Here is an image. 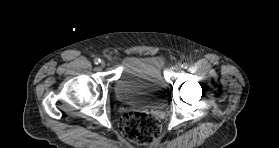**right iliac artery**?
Returning a JSON list of instances; mask_svg holds the SVG:
<instances>
[{
    "instance_id": "1",
    "label": "right iliac artery",
    "mask_w": 279,
    "mask_h": 148,
    "mask_svg": "<svg viewBox=\"0 0 279 148\" xmlns=\"http://www.w3.org/2000/svg\"><path fill=\"white\" fill-rule=\"evenodd\" d=\"M100 62H101V60H100L99 58H95V59H94V63H95V64H99Z\"/></svg>"
}]
</instances>
